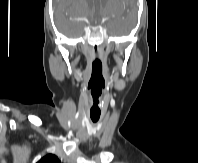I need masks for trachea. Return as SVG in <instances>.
Returning a JSON list of instances; mask_svg holds the SVG:
<instances>
[{"instance_id":"obj_1","label":"trachea","mask_w":198,"mask_h":163,"mask_svg":"<svg viewBox=\"0 0 198 163\" xmlns=\"http://www.w3.org/2000/svg\"><path fill=\"white\" fill-rule=\"evenodd\" d=\"M97 106V105H96ZM91 120L96 123L99 120V117L91 116Z\"/></svg>"}]
</instances>
